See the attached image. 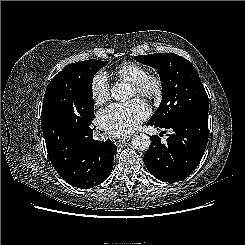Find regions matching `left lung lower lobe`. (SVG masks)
<instances>
[{
  "mask_svg": "<svg viewBox=\"0 0 245 245\" xmlns=\"http://www.w3.org/2000/svg\"><path fill=\"white\" fill-rule=\"evenodd\" d=\"M148 125L173 129L167 144H161L158 135L151 137V145L144 155V164L157 179L177 182L186 179L198 166L208 142V113L194 112L181 120L161 126L153 122Z\"/></svg>",
  "mask_w": 245,
  "mask_h": 245,
  "instance_id": "0a47b994",
  "label": "left lung lower lobe"
}]
</instances>
